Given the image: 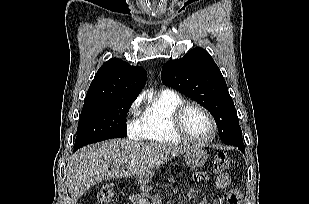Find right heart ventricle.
<instances>
[{"instance_id":"e07e8e85","label":"right heart ventricle","mask_w":309,"mask_h":204,"mask_svg":"<svg viewBox=\"0 0 309 204\" xmlns=\"http://www.w3.org/2000/svg\"><path fill=\"white\" fill-rule=\"evenodd\" d=\"M184 101L181 95L170 90L150 97L137 119L139 138L154 143H182L184 140L172 128L171 118Z\"/></svg>"}]
</instances>
